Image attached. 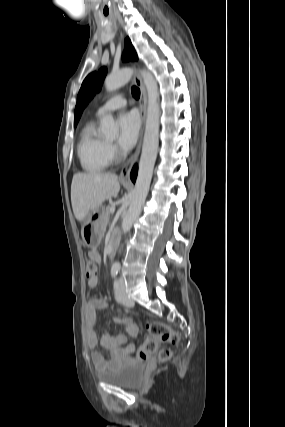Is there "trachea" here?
Returning a JSON list of instances; mask_svg holds the SVG:
<instances>
[{
  "mask_svg": "<svg viewBox=\"0 0 285 427\" xmlns=\"http://www.w3.org/2000/svg\"><path fill=\"white\" fill-rule=\"evenodd\" d=\"M131 93L135 99H139V97H140V89L139 88H137L136 86H133L131 88Z\"/></svg>",
  "mask_w": 285,
  "mask_h": 427,
  "instance_id": "3493384b",
  "label": "trachea"
}]
</instances>
